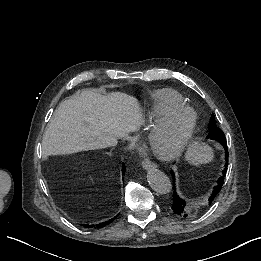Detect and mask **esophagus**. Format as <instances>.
Returning <instances> with one entry per match:
<instances>
[{
    "label": "esophagus",
    "instance_id": "esophagus-1",
    "mask_svg": "<svg viewBox=\"0 0 261 261\" xmlns=\"http://www.w3.org/2000/svg\"><path fill=\"white\" fill-rule=\"evenodd\" d=\"M142 166L144 169L146 170H151V169H155L157 168V165L154 164L152 161H150L149 159H144L142 162Z\"/></svg>",
    "mask_w": 261,
    "mask_h": 261
}]
</instances>
